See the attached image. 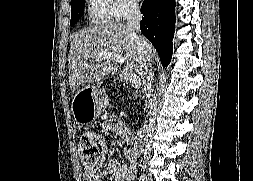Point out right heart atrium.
Segmentation results:
<instances>
[{"label":"right heart atrium","instance_id":"obj_1","mask_svg":"<svg viewBox=\"0 0 253 181\" xmlns=\"http://www.w3.org/2000/svg\"><path fill=\"white\" fill-rule=\"evenodd\" d=\"M111 15L115 20H123L135 14L139 6L137 0H108Z\"/></svg>","mask_w":253,"mask_h":181}]
</instances>
